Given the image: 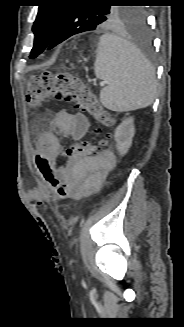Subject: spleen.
I'll return each mask as SVG.
<instances>
[{
  "label": "spleen",
  "mask_w": 184,
  "mask_h": 327,
  "mask_svg": "<svg viewBox=\"0 0 184 327\" xmlns=\"http://www.w3.org/2000/svg\"><path fill=\"white\" fill-rule=\"evenodd\" d=\"M95 75L107 81L101 103L113 111H131L152 104L157 90L150 62L130 42L112 34L99 39Z\"/></svg>",
  "instance_id": "obj_1"
}]
</instances>
